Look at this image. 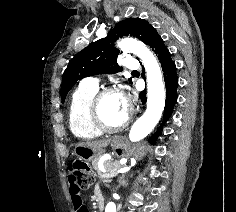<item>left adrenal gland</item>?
<instances>
[{
    "label": "left adrenal gland",
    "mask_w": 236,
    "mask_h": 212,
    "mask_svg": "<svg viewBox=\"0 0 236 212\" xmlns=\"http://www.w3.org/2000/svg\"><path fill=\"white\" fill-rule=\"evenodd\" d=\"M124 177H125V175H122V176L119 178V184H120V185H125V184H126V182H125V180H124Z\"/></svg>",
    "instance_id": "obj_1"
}]
</instances>
